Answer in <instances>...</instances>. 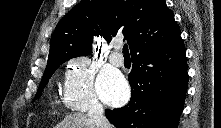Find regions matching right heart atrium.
Here are the masks:
<instances>
[{
  "mask_svg": "<svg viewBox=\"0 0 221 128\" xmlns=\"http://www.w3.org/2000/svg\"><path fill=\"white\" fill-rule=\"evenodd\" d=\"M95 70L85 56H75L67 62L62 84L65 105L76 112L89 107H100L94 88Z\"/></svg>",
  "mask_w": 221,
  "mask_h": 128,
  "instance_id": "1",
  "label": "right heart atrium"
}]
</instances>
